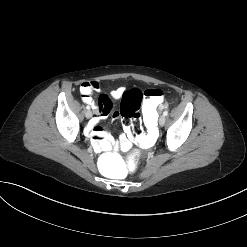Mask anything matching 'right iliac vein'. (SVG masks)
Wrapping results in <instances>:
<instances>
[{"instance_id": "right-iliac-vein-1", "label": "right iliac vein", "mask_w": 247, "mask_h": 247, "mask_svg": "<svg viewBox=\"0 0 247 247\" xmlns=\"http://www.w3.org/2000/svg\"><path fill=\"white\" fill-rule=\"evenodd\" d=\"M85 116H86V118H91L92 117V112L90 111V110H87L86 112H85Z\"/></svg>"}]
</instances>
